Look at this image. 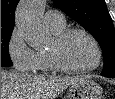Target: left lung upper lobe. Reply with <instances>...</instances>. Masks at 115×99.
Returning a JSON list of instances; mask_svg holds the SVG:
<instances>
[{"label":"left lung upper lobe","instance_id":"obj_1","mask_svg":"<svg viewBox=\"0 0 115 99\" xmlns=\"http://www.w3.org/2000/svg\"><path fill=\"white\" fill-rule=\"evenodd\" d=\"M53 1L95 37L104 57L102 76L115 78V30L105 0Z\"/></svg>","mask_w":115,"mask_h":99}]
</instances>
